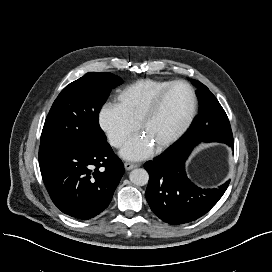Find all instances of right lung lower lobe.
<instances>
[{"instance_id": "98d812e1", "label": "right lung lower lobe", "mask_w": 272, "mask_h": 272, "mask_svg": "<svg viewBox=\"0 0 272 272\" xmlns=\"http://www.w3.org/2000/svg\"><path fill=\"white\" fill-rule=\"evenodd\" d=\"M39 165L53 203L82 220L107 208L124 174L123 163L107 141L40 145Z\"/></svg>"}]
</instances>
